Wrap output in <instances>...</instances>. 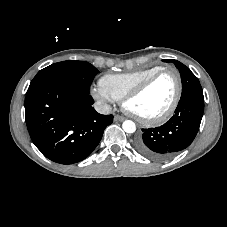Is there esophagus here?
<instances>
[{
	"label": "esophagus",
	"mask_w": 227,
	"mask_h": 227,
	"mask_svg": "<svg viewBox=\"0 0 227 227\" xmlns=\"http://www.w3.org/2000/svg\"><path fill=\"white\" fill-rule=\"evenodd\" d=\"M125 118L123 116L120 115H115L114 120L115 121H123Z\"/></svg>",
	"instance_id": "1"
}]
</instances>
